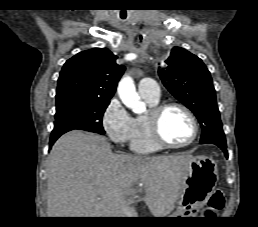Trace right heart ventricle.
I'll return each mask as SVG.
<instances>
[{
    "mask_svg": "<svg viewBox=\"0 0 258 227\" xmlns=\"http://www.w3.org/2000/svg\"><path fill=\"white\" fill-rule=\"evenodd\" d=\"M151 107L158 104L159 100L143 98ZM135 134L130 142L131 149L136 153L147 154L158 151L161 147L155 143L151 135L147 117L144 115L134 118Z\"/></svg>",
    "mask_w": 258,
    "mask_h": 227,
    "instance_id": "1",
    "label": "right heart ventricle"
}]
</instances>
